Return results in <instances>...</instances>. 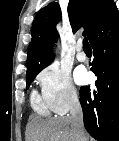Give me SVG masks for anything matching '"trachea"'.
I'll list each match as a JSON object with an SVG mask.
<instances>
[{
  "label": "trachea",
  "mask_w": 119,
  "mask_h": 141,
  "mask_svg": "<svg viewBox=\"0 0 119 141\" xmlns=\"http://www.w3.org/2000/svg\"><path fill=\"white\" fill-rule=\"evenodd\" d=\"M83 48L84 49H91L89 42H88V39L86 37L83 39Z\"/></svg>",
  "instance_id": "trachea-1"
}]
</instances>
